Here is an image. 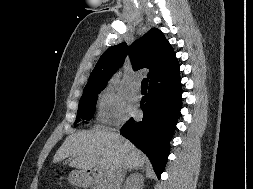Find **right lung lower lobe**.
Wrapping results in <instances>:
<instances>
[{
  "mask_svg": "<svg viewBox=\"0 0 253 189\" xmlns=\"http://www.w3.org/2000/svg\"><path fill=\"white\" fill-rule=\"evenodd\" d=\"M181 96L179 72L149 84L148 94L140 103L143 120L135 122L131 118L121 128L122 135L148 156L158 178L170 152L169 142L181 109Z\"/></svg>",
  "mask_w": 253,
  "mask_h": 189,
  "instance_id": "obj_1",
  "label": "right lung lower lobe"
}]
</instances>
